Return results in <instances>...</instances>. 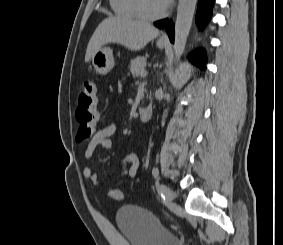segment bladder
Listing matches in <instances>:
<instances>
[{"label": "bladder", "instance_id": "bladder-1", "mask_svg": "<svg viewBox=\"0 0 283 245\" xmlns=\"http://www.w3.org/2000/svg\"><path fill=\"white\" fill-rule=\"evenodd\" d=\"M116 224L129 245H182L178 236L165 228L149 210L126 205L116 212Z\"/></svg>", "mask_w": 283, "mask_h": 245}]
</instances>
